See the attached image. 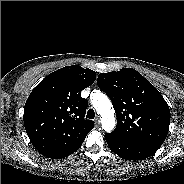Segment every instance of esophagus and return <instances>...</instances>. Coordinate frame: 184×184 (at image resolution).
Here are the masks:
<instances>
[{
	"mask_svg": "<svg viewBox=\"0 0 184 184\" xmlns=\"http://www.w3.org/2000/svg\"><path fill=\"white\" fill-rule=\"evenodd\" d=\"M95 124H96V125H99V124H100V118H99V116L96 117V119H95Z\"/></svg>",
	"mask_w": 184,
	"mask_h": 184,
	"instance_id": "obj_1",
	"label": "esophagus"
}]
</instances>
